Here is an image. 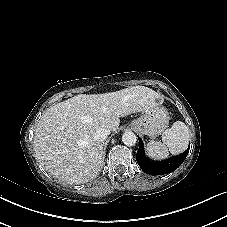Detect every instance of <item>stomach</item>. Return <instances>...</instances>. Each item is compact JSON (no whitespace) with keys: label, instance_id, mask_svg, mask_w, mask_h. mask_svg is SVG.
<instances>
[{"label":"stomach","instance_id":"0dacf381","mask_svg":"<svg viewBox=\"0 0 227 227\" xmlns=\"http://www.w3.org/2000/svg\"><path fill=\"white\" fill-rule=\"evenodd\" d=\"M168 111L162 106H155L144 115L133 120L130 126L143 135L153 139L159 136L169 124Z\"/></svg>","mask_w":227,"mask_h":227}]
</instances>
